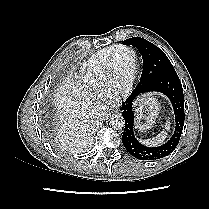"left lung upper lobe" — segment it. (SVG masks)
Returning a JSON list of instances; mask_svg holds the SVG:
<instances>
[{"label":"left lung upper lobe","instance_id":"5c2ea615","mask_svg":"<svg viewBox=\"0 0 209 209\" xmlns=\"http://www.w3.org/2000/svg\"><path fill=\"white\" fill-rule=\"evenodd\" d=\"M125 45L136 47L143 58V71L139 85H148L158 77L175 73V69L165 53L151 42L133 37L122 42Z\"/></svg>","mask_w":209,"mask_h":209}]
</instances>
